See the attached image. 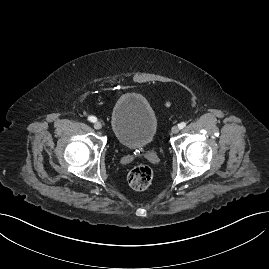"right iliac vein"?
I'll list each match as a JSON object with an SVG mask.
<instances>
[{"mask_svg": "<svg viewBox=\"0 0 269 269\" xmlns=\"http://www.w3.org/2000/svg\"><path fill=\"white\" fill-rule=\"evenodd\" d=\"M94 128L96 130H100L102 128V124L99 121H97V122L94 123Z\"/></svg>", "mask_w": 269, "mask_h": 269, "instance_id": "1", "label": "right iliac vein"}]
</instances>
